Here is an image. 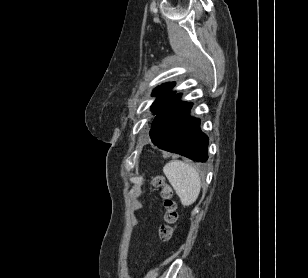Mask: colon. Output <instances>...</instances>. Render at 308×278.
Returning a JSON list of instances; mask_svg holds the SVG:
<instances>
[{"label":"colon","instance_id":"5ec220e1","mask_svg":"<svg viewBox=\"0 0 308 278\" xmlns=\"http://www.w3.org/2000/svg\"><path fill=\"white\" fill-rule=\"evenodd\" d=\"M153 185L161 188V196L164 199L165 223L160 227V237L164 241H168L173 235V226L178 222V206L173 199V191L169 185L165 183L162 176L157 175L153 177Z\"/></svg>","mask_w":308,"mask_h":278}]
</instances>
